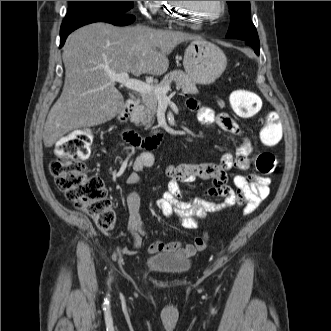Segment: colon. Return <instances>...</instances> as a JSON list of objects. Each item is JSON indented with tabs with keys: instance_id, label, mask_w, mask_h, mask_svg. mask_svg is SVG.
<instances>
[{
	"instance_id": "5ec220e1",
	"label": "colon",
	"mask_w": 331,
	"mask_h": 331,
	"mask_svg": "<svg viewBox=\"0 0 331 331\" xmlns=\"http://www.w3.org/2000/svg\"><path fill=\"white\" fill-rule=\"evenodd\" d=\"M230 104L240 118H251L262 108L260 97L249 90L232 92ZM282 138V125L279 116L269 114L263 121L260 140L266 146L277 145ZM93 143L88 130H76L61 138L55 147V159L50 164V172L55 184L74 206L87 213L96 226L103 231L110 230L115 223V212L103 180L86 172L84 161L89 157ZM276 157L270 151L258 154L256 169L261 174H271L276 169ZM197 249H204L207 240L197 237Z\"/></svg>"
}]
</instances>
